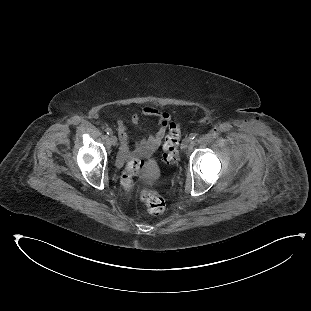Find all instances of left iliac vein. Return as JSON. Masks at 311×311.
<instances>
[{"mask_svg": "<svg viewBox=\"0 0 311 311\" xmlns=\"http://www.w3.org/2000/svg\"><path fill=\"white\" fill-rule=\"evenodd\" d=\"M190 145V138H184L181 144L182 149H187Z\"/></svg>", "mask_w": 311, "mask_h": 311, "instance_id": "1", "label": "left iliac vein"}]
</instances>
